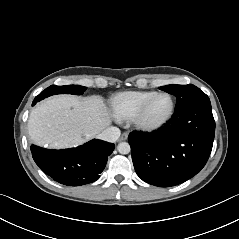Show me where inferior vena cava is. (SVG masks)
Segmentation results:
<instances>
[{
  "label": "inferior vena cava",
  "mask_w": 239,
  "mask_h": 239,
  "mask_svg": "<svg viewBox=\"0 0 239 239\" xmlns=\"http://www.w3.org/2000/svg\"><path fill=\"white\" fill-rule=\"evenodd\" d=\"M120 134L121 132L119 128L110 126L100 132L97 137L101 140L113 143L117 141V139L120 137Z\"/></svg>",
  "instance_id": "obj_1"
}]
</instances>
